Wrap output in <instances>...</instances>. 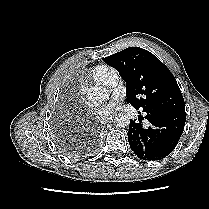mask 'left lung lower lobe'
Segmentation results:
<instances>
[{
    "mask_svg": "<svg viewBox=\"0 0 209 209\" xmlns=\"http://www.w3.org/2000/svg\"><path fill=\"white\" fill-rule=\"evenodd\" d=\"M145 112L149 127H144L141 120L139 123L130 120L128 141L138 158L161 160L175 149L184 129L186 115L170 109Z\"/></svg>",
    "mask_w": 209,
    "mask_h": 209,
    "instance_id": "obj_1",
    "label": "left lung lower lobe"
}]
</instances>
